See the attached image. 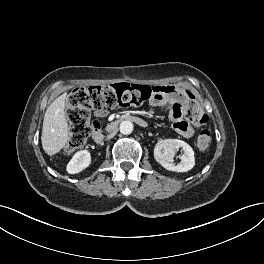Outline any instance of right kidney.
<instances>
[{
	"mask_svg": "<svg viewBox=\"0 0 264 264\" xmlns=\"http://www.w3.org/2000/svg\"><path fill=\"white\" fill-rule=\"evenodd\" d=\"M91 164V154L88 150H81L75 153L66 167L69 174H77Z\"/></svg>",
	"mask_w": 264,
	"mask_h": 264,
	"instance_id": "1",
	"label": "right kidney"
}]
</instances>
